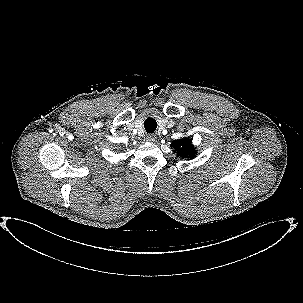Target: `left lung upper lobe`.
<instances>
[{
	"instance_id": "1",
	"label": "left lung upper lobe",
	"mask_w": 303,
	"mask_h": 303,
	"mask_svg": "<svg viewBox=\"0 0 303 303\" xmlns=\"http://www.w3.org/2000/svg\"><path fill=\"white\" fill-rule=\"evenodd\" d=\"M171 147L174 149V152H177V155L182 158L189 157L190 159H192L193 157H195L192 140L190 139L176 140L171 143Z\"/></svg>"
}]
</instances>
